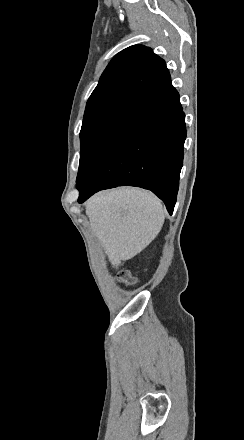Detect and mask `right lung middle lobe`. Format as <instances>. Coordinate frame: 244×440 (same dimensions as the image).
Listing matches in <instances>:
<instances>
[{
  "label": "right lung middle lobe",
  "instance_id": "dd1d6c3e",
  "mask_svg": "<svg viewBox=\"0 0 244 440\" xmlns=\"http://www.w3.org/2000/svg\"><path fill=\"white\" fill-rule=\"evenodd\" d=\"M139 100L140 98L133 96H118L87 103L80 132L81 152L77 182L108 134Z\"/></svg>",
  "mask_w": 244,
  "mask_h": 440
}]
</instances>
